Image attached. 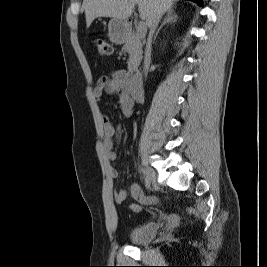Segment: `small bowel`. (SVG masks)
<instances>
[{
    "instance_id": "1",
    "label": "small bowel",
    "mask_w": 267,
    "mask_h": 267,
    "mask_svg": "<svg viewBox=\"0 0 267 267\" xmlns=\"http://www.w3.org/2000/svg\"><path fill=\"white\" fill-rule=\"evenodd\" d=\"M130 85L131 81L128 73L123 69H116L99 79L93 89V97L96 101H100L103 93L115 96L121 112L124 116L129 117L134 113V101L130 96ZM101 118L103 125L102 148L105 152L106 158L109 161H115L117 155L114 152V137L120 136L121 129L120 127L114 126L107 114H102ZM109 175L111 178H117V169L110 166ZM130 194L136 202L130 204L128 209L134 213L141 212L143 205H152L156 202L155 197L147 196L136 183H133L130 186ZM126 199L127 192L125 190H116L114 192V201L117 204L123 203ZM167 220L169 222H175L176 216L170 215L167 217Z\"/></svg>"
}]
</instances>
